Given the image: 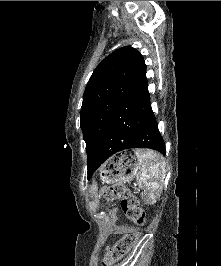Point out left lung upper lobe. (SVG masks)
I'll use <instances>...</instances> for the list:
<instances>
[{"instance_id":"left-lung-upper-lobe-1","label":"left lung upper lobe","mask_w":221,"mask_h":266,"mask_svg":"<svg viewBox=\"0 0 221 266\" xmlns=\"http://www.w3.org/2000/svg\"><path fill=\"white\" fill-rule=\"evenodd\" d=\"M145 80L143 56L130 46L112 52L96 67L86 85L80 114L88 165L120 106Z\"/></svg>"}]
</instances>
